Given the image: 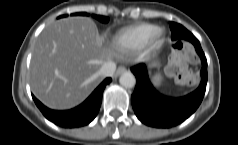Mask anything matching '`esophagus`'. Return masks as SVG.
<instances>
[{"label":"esophagus","instance_id":"esophagus-1","mask_svg":"<svg viewBox=\"0 0 238 145\" xmlns=\"http://www.w3.org/2000/svg\"><path fill=\"white\" fill-rule=\"evenodd\" d=\"M124 72H126V68L123 67V66H120V67H118V69H117V71L115 73V76L117 77V76L121 75Z\"/></svg>","mask_w":238,"mask_h":145}]
</instances>
